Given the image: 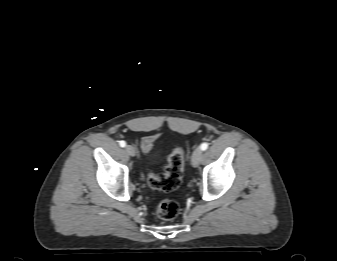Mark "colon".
Returning a JSON list of instances; mask_svg holds the SVG:
<instances>
[{"mask_svg": "<svg viewBox=\"0 0 337 261\" xmlns=\"http://www.w3.org/2000/svg\"><path fill=\"white\" fill-rule=\"evenodd\" d=\"M184 169V152L181 147H176L168 156L167 165L162 175L150 174L148 184L158 190L173 191L182 181ZM179 204L173 200L160 202L155 209L156 216L162 220H173L179 214Z\"/></svg>", "mask_w": 337, "mask_h": 261, "instance_id": "obj_1", "label": "colon"}]
</instances>
